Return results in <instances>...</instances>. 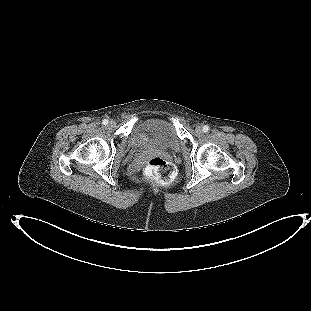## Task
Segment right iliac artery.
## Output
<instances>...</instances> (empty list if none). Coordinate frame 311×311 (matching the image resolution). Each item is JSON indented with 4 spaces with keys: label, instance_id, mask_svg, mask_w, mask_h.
Wrapping results in <instances>:
<instances>
[{
    "label": "right iliac artery",
    "instance_id": "obj_1",
    "mask_svg": "<svg viewBox=\"0 0 311 311\" xmlns=\"http://www.w3.org/2000/svg\"><path fill=\"white\" fill-rule=\"evenodd\" d=\"M102 124H103V125H107V124H108V120H107V119H104L103 122H102Z\"/></svg>",
    "mask_w": 311,
    "mask_h": 311
}]
</instances>
